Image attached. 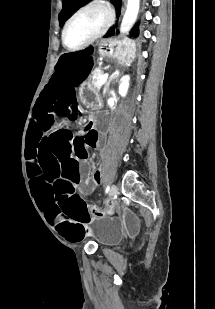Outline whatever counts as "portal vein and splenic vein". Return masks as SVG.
Segmentation results:
<instances>
[{
	"label": "portal vein and splenic vein",
	"mask_w": 215,
	"mask_h": 309,
	"mask_svg": "<svg viewBox=\"0 0 215 309\" xmlns=\"http://www.w3.org/2000/svg\"><path fill=\"white\" fill-rule=\"evenodd\" d=\"M108 76H109V74H102V76L99 80V84H103V82H106Z\"/></svg>",
	"instance_id": "obj_1"
}]
</instances>
